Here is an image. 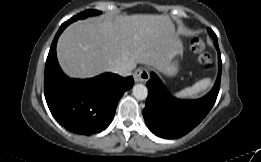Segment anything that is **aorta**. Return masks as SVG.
Segmentation results:
<instances>
[{
	"label": "aorta",
	"mask_w": 261,
	"mask_h": 162,
	"mask_svg": "<svg viewBox=\"0 0 261 162\" xmlns=\"http://www.w3.org/2000/svg\"><path fill=\"white\" fill-rule=\"evenodd\" d=\"M132 93L137 100H144L147 98L148 90L145 85L137 84L133 87Z\"/></svg>",
	"instance_id": "aorta-1"
}]
</instances>
